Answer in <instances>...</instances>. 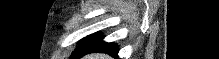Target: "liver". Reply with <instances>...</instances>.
<instances>
[{"label": "liver", "instance_id": "6515ba94", "mask_svg": "<svg viewBox=\"0 0 219 59\" xmlns=\"http://www.w3.org/2000/svg\"><path fill=\"white\" fill-rule=\"evenodd\" d=\"M84 59H112L110 56L106 54H90L84 57Z\"/></svg>", "mask_w": 219, "mask_h": 59}]
</instances>
